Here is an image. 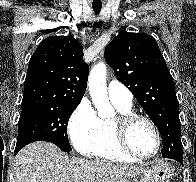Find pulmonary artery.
Listing matches in <instances>:
<instances>
[{"label":"pulmonary artery","mask_w":196,"mask_h":182,"mask_svg":"<svg viewBox=\"0 0 196 182\" xmlns=\"http://www.w3.org/2000/svg\"><path fill=\"white\" fill-rule=\"evenodd\" d=\"M107 93L110 100L113 102H118L125 105L132 104L133 96L131 92L128 90L127 87H125L118 81H111L108 84Z\"/></svg>","instance_id":"pulmonary-artery-1"}]
</instances>
